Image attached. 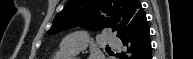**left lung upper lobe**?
<instances>
[{
	"mask_svg": "<svg viewBox=\"0 0 193 59\" xmlns=\"http://www.w3.org/2000/svg\"><path fill=\"white\" fill-rule=\"evenodd\" d=\"M100 11L107 12L111 18L101 17ZM141 12L139 0H69L47 33L56 34L77 26L94 31L109 27L120 37L134 16Z\"/></svg>",
	"mask_w": 193,
	"mask_h": 59,
	"instance_id": "left-lung-upper-lobe-1",
	"label": "left lung upper lobe"
}]
</instances>
